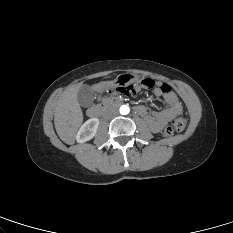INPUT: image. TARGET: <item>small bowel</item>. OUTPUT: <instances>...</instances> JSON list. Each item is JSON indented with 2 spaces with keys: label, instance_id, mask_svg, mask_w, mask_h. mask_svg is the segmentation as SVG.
<instances>
[{
  "label": "small bowel",
  "instance_id": "small-bowel-1",
  "mask_svg": "<svg viewBox=\"0 0 233 233\" xmlns=\"http://www.w3.org/2000/svg\"><path fill=\"white\" fill-rule=\"evenodd\" d=\"M163 85H167L169 90L163 91ZM139 90L140 88L136 87V91ZM153 92L156 96L163 98L167 107L160 112L148 113V110L145 106H138L136 111L139 115L144 117L147 125L153 132H160L174 116L182 113L183 108L179 98L171 90V87L168 84L156 82Z\"/></svg>",
  "mask_w": 233,
  "mask_h": 233
}]
</instances>
